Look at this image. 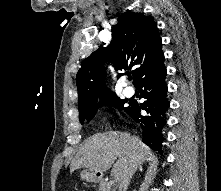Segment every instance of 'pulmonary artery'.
<instances>
[{
  "label": "pulmonary artery",
  "mask_w": 221,
  "mask_h": 191,
  "mask_svg": "<svg viewBox=\"0 0 221 191\" xmlns=\"http://www.w3.org/2000/svg\"><path fill=\"white\" fill-rule=\"evenodd\" d=\"M124 95L128 98L132 97L134 95V89L131 86H126L124 89Z\"/></svg>",
  "instance_id": "obj_1"
}]
</instances>
